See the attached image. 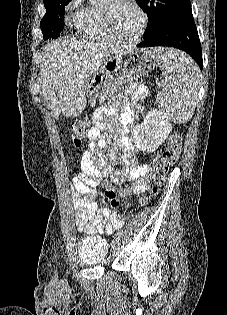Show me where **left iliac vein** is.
I'll list each match as a JSON object with an SVG mask.
<instances>
[{
  "label": "left iliac vein",
  "instance_id": "obj_1",
  "mask_svg": "<svg viewBox=\"0 0 227 315\" xmlns=\"http://www.w3.org/2000/svg\"><path fill=\"white\" fill-rule=\"evenodd\" d=\"M119 244H120V239L119 238H115L114 241H113V246L117 247V246H119Z\"/></svg>",
  "mask_w": 227,
  "mask_h": 315
}]
</instances>
